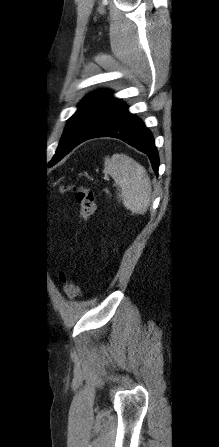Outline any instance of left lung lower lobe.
<instances>
[{
	"label": "left lung lower lobe",
	"instance_id": "left-lung-lower-lobe-1",
	"mask_svg": "<svg viewBox=\"0 0 219 447\" xmlns=\"http://www.w3.org/2000/svg\"><path fill=\"white\" fill-rule=\"evenodd\" d=\"M104 136L121 139L145 153L150 159L153 170L158 173L159 158L153 136L139 118L128 112V106L124 103H120L91 134L79 143L73 144L60 156L53 158L49 165L56 164L81 142Z\"/></svg>",
	"mask_w": 219,
	"mask_h": 447
}]
</instances>
